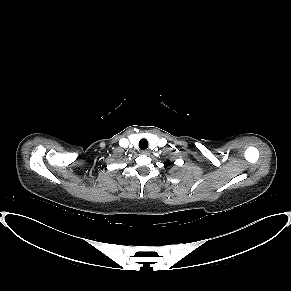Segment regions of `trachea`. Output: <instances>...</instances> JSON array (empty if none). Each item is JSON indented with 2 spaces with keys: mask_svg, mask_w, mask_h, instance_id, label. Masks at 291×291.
Masks as SVG:
<instances>
[{
  "mask_svg": "<svg viewBox=\"0 0 291 291\" xmlns=\"http://www.w3.org/2000/svg\"><path fill=\"white\" fill-rule=\"evenodd\" d=\"M139 148H140L141 150H145V149L148 148V141H147V139L143 138V139H141V140L139 141Z\"/></svg>",
  "mask_w": 291,
  "mask_h": 291,
  "instance_id": "obj_1",
  "label": "trachea"
}]
</instances>
